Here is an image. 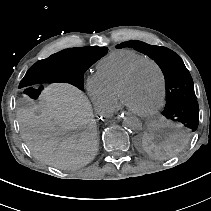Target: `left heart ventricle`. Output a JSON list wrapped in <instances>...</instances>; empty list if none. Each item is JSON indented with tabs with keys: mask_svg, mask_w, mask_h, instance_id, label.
I'll return each instance as SVG.
<instances>
[{
	"mask_svg": "<svg viewBox=\"0 0 211 211\" xmlns=\"http://www.w3.org/2000/svg\"><path fill=\"white\" fill-rule=\"evenodd\" d=\"M160 96V78L152 64L143 65L123 90V103L129 110L148 112Z\"/></svg>",
	"mask_w": 211,
	"mask_h": 211,
	"instance_id": "left-heart-ventricle-1",
	"label": "left heart ventricle"
}]
</instances>
